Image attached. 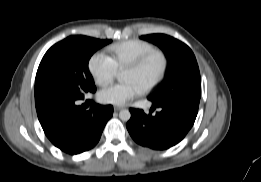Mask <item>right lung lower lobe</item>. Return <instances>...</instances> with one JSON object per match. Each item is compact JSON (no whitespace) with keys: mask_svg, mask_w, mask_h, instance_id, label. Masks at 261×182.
<instances>
[{"mask_svg":"<svg viewBox=\"0 0 261 182\" xmlns=\"http://www.w3.org/2000/svg\"><path fill=\"white\" fill-rule=\"evenodd\" d=\"M79 100L63 93H53L35 100L40 124L49 140L68 154L93 148L99 141L113 107L90 102L91 108L75 105Z\"/></svg>","mask_w":261,"mask_h":182,"instance_id":"obj_1","label":"right lung lower lobe"}]
</instances>
